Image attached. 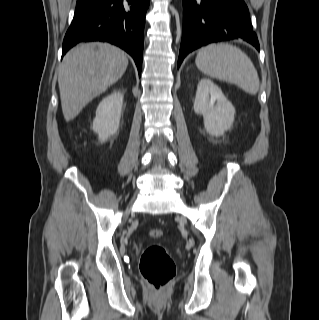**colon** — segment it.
<instances>
[{
    "instance_id": "obj_1",
    "label": "colon",
    "mask_w": 319,
    "mask_h": 320,
    "mask_svg": "<svg viewBox=\"0 0 319 320\" xmlns=\"http://www.w3.org/2000/svg\"><path fill=\"white\" fill-rule=\"evenodd\" d=\"M149 236L154 239L161 238L163 231L151 229ZM139 267L154 296L161 295L175 275V264L161 244H153L145 249Z\"/></svg>"
}]
</instances>
